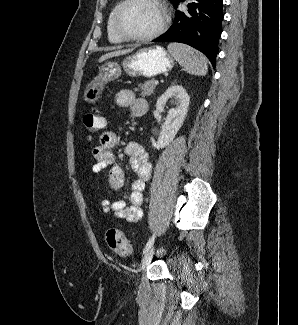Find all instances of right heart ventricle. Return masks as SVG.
<instances>
[{"mask_svg":"<svg viewBox=\"0 0 298 325\" xmlns=\"http://www.w3.org/2000/svg\"><path fill=\"white\" fill-rule=\"evenodd\" d=\"M121 3H117L110 11L108 19H107V38L109 42L113 45H122L124 44V41L121 40L115 33L113 29V19L116 14V11Z\"/></svg>","mask_w":298,"mask_h":325,"instance_id":"obj_1","label":"right heart ventricle"}]
</instances>
